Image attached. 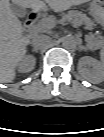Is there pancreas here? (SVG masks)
Masks as SVG:
<instances>
[{"mask_svg":"<svg viewBox=\"0 0 104 137\" xmlns=\"http://www.w3.org/2000/svg\"><path fill=\"white\" fill-rule=\"evenodd\" d=\"M60 22H71L74 25L85 24L87 28H90L93 25L90 18H88L85 14L77 11H69L68 13L64 14ZM87 40H90L88 42L90 47L98 48L100 46L99 41H97L93 35L87 36Z\"/></svg>","mask_w":104,"mask_h":137,"instance_id":"cf45deb5","label":"pancreas"}]
</instances>
